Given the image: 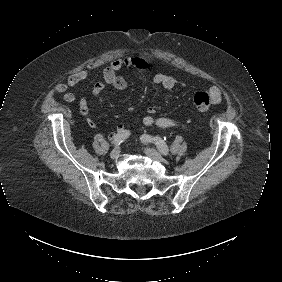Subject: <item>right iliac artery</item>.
<instances>
[{"label": "right iliac artery", "mask_w": 282, "mask_h": 282, "mask_svg": "<svg viewBox=\"0 0 282 282\" xmlns=\"http://www.w3.org/2000/svg\"><path fill=\"white\" fill-rule=\"evenodd\" d=\"M130 134L131 133L129 130H124L114 136L112 143L115 146H119L123 141H125L130 136Z\"/></svg>", "instance_id": "82829eb1"}]
</instances>
